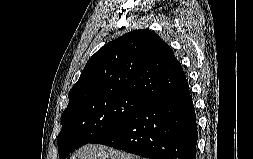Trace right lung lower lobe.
I'll use <instances>...</instances> for the list:
<instances>
[{
    "label": "right lung lower lobe",
    "mask_w": 253,
    "mask_h": 159,
    "mask_svg": "<svg viewBox=\"0 0 253 159\" xmlns=\"http://www.w3.org/2000/svg\"><path fill=\"white\" fill-rule=\"evenodd\" d=\"M196 114L188 83L151 100L92 143L149 159H196Z\"/></svg>",
    "instance_id": "1"
}]
</instances>
